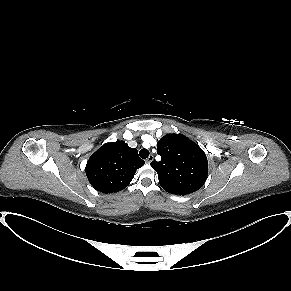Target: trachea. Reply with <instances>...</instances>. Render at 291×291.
Listing matches in <instances>:
<instances>
[{
    "label": "trachea",
    "instance_id": "trachea-1",
    "mask_svg": "<svg viewBox=\"0 0 291 291\" xmlns=\"http://www.w3.org/2000/svg\"><path fill=\"white\" fill-rule=\"evenodd\" d=\"M141 158L145 159L149 156V151L147 149H141L139 152Z\"/></svg>",
    "mask_w": 291,
    "mask_h": 291
}]
</instances>
